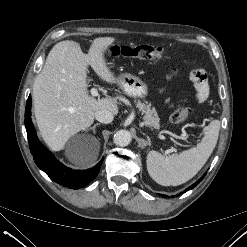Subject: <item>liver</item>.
I'll list each match as a JSON object with an SVG mask.
<instances>
[{
    "instance_id": "obj_1",
    "label": "liver",
    "mask_w": 247,
    "mask_h": 247,
    "mask_svg": "<svg viewBox=\"0 0 247 247\" xmlns=\"http://www.w3.org/2000/svg\"><path fill=\"white\" fill-rule=\"evenodd\" d=\"M114 42L113 37L95 38L88 54H84L79 43L65 40L57 43L48 54L35 79L32 94L40 134L51 150L63 149L71 136L87 129L98 110L118 114L115 97L95 99L88 94L86 83L88 65L102 80L118 83L104 58L105 51ZM98 152L97 143L90 154L75 157L72 162L80 167L91 166Z\"/></svg>"
}]
</instances>
